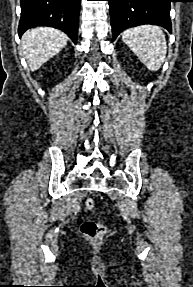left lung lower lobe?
<instances>
[{
  "label": "left lung lower lobe",
  "instance_id": "0a47b994",
  "mask_svg": "<svg viewBox=\"0 0 193 287\" xmlns=\"http://www.w3.org/2000/svg\"><path fill=\"white\" fill-rule=\"evenodd\" d=\"M113 40L126 28L154 24L171 32L170 2L173 0H107Z\"/></svg>",
  "mask_w": 193,
  "mask_h": 287
}]
</instances>
